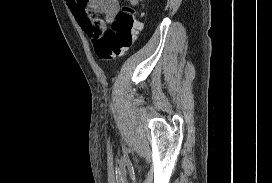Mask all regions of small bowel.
Wrapping results in <instances>:
<instances>
[{
	"mask_svg": "<svg viewBox=\"0 0 272 183\" xmlns=\"http://www.w3.org/2000/svg\"><path fill=\"white\" fill-rule=\"evenodd\" d=\"M137 6L143 0H128ZM68 6L79 26L90 37L102 34L119 11L118 0H68Z\"/></svg>",
	"mask_w": 272,
	"mask_h": 183,
	"instance_id": "c3829d8e",
	"label": "small bowel"
}]
</instances>
